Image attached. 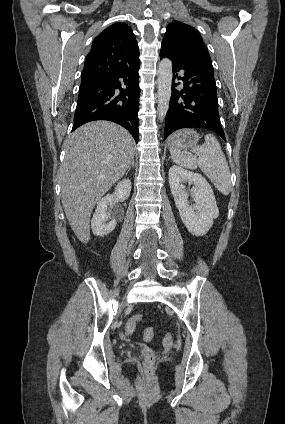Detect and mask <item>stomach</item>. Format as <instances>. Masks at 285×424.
<instances>
[{"instance_id": "1", "label": "stomach", "mask_w": 285, "mask_h": 424, "mask_svg": "<svg viewBox=\"0 0 285 424\" xmlns=\"http://www.w3.org/2000/svg\"><path fill=\"white\" fill-rule=\"evenodd\" d=\"M199 141V135L193 130H181L170 136L168 147H174L180 150H187L195 147Z\"/></svg>"}]
</instances>
